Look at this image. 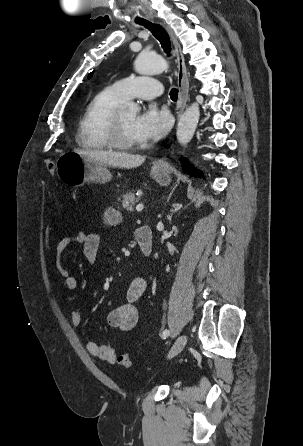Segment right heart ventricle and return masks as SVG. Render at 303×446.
Wrapping results in <instances>:
<instances>
[{
    "instance_id": "right-heart-ventricle-1",
    "label": "right heart ventricle",
    "mask_w": 303,
    "mask_h": 446,
    "mask_svg": "<svg viewBox=\"0 0 303 446\" xmlns=\"http://www.w3.org/2000/svg\"><path fill=\"white\" fill-rule=\"evenodd\" d=\"M126 100L113 86L98 92L87 105L77 128L76 142L87 150H106L111 145L108 127L112 115Z\"/></svg>"
}]
</instances>
